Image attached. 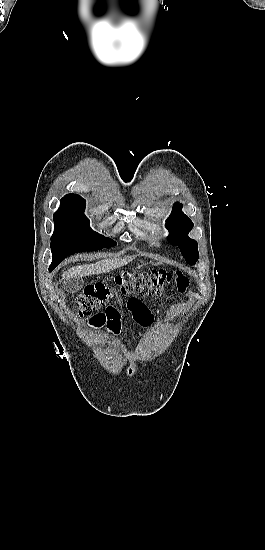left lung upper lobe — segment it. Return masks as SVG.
<instances>
[{
  "mask_svg": "<svg viewBox=\"0 0 265 550\" xmlns=\"http://www.w3.org/2000/svg\"><path fill=\"white\" fill-rule=\"evenodd\" d=\"M181 205L175 204L173 212L167 219L166 227L170 230L169 242L178 245L186 262L193 265L198 260L197 242L188 237L193 228L192 221L182 213Z\"/></svg>",
  "mask_w": 265,
  "mask_h": 550,
  "instance_id": "obj_1",
  "label": "left lung upper lobe"
}]
</instances>
